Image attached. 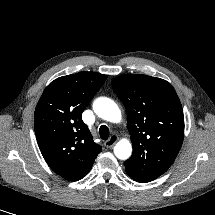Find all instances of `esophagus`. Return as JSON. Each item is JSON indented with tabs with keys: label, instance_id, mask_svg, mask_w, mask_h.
I'll return each instance as SVG.
<instances>
[{
	"label": "esophagus",
	"instance_id": "34e87169",
	"mask_svg": "<svg viewBox=\"0 0 215 215\" xmlns=\"http://www.w3.org/2000/svg\"><path fill=\"white\" fill-rule=\"evenodd\" d=\"M118 141V136L117 135H112L106 142L105 146L107 148H111L114 146V144Z\"/></svg>",
	"mask_w": 215,
	"mask_h": 215
}]
</instances>
